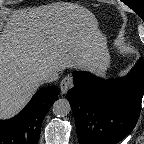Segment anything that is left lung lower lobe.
<instances>
[{"mask_svg": "<svg viewBox=\"0 0 144 144\" xmlns=\"http://www.w3.org/2000/svg\"><path fill=\"white\" fill-rule=\"evenodd\" d=\"M68 91L80 144H117L135 127L144 94V59L128 76L106 81L75 72Z\"/></svg>", "mask_w": 144, "mask_h": 144, "instance_id": "0a47b994", "label": "left lung lower lobe"}]
</instances>
